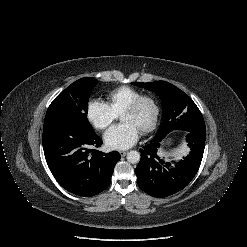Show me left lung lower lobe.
<instances>
[{
    "label": "left lung lower lobe",
    "mask_w": 247,
    "mask_h": 247,
    "mask_svg": "<svg viewBox=\"0 0 247 247\" xmlns=\"http://www.w3.org/2000/svg\"><path fill=\"white\" fill-rule=\"evenodd\" d=\"M162 139H152L140 149L141 159L135 169L139 187L159 198L177 193L194 178L202 161L206 130L186 133L185 141L190 152L179 162H165L157 155Z\"/></svg>",
    "instance_id": "0a47b994"
}]
</instances>
